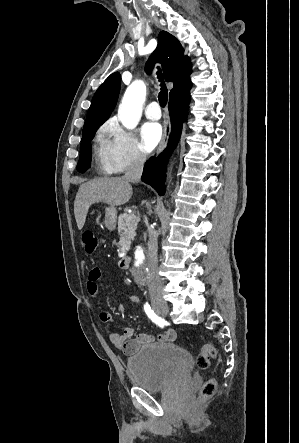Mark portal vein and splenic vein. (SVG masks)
Returning a JSON list of instances; mask_svg holds the SVG:
<instances>
[{
    "mask_svg": "<svg viewBox=\"0 0 299 443\" xmlns=\"http://www.w3.org/2000/svg\"><path fill=\"white\" fill-rule=\"evenodd\" d=\"M135 218H136V216H135L134 214H131V215L128 217L129 220H132V219H135Z\"/></svg>",
    "mask_w": 299,
    "mask_h": 443,
    "instance_id": "1",
    "label": "portal vein and splenic vein"
}]
</instances>
